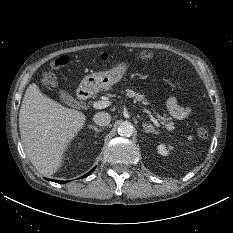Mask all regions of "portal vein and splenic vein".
<instances>
[{
	"label": "portal vein and splenic vein",
	"instance_id": "1",
	"mask_svg": "<svg viewBox=\"0 0 233 233\" xmlns=\"http://www.w3.org/2000/svg\"><path fill=\"white\" fill-rule=\"evenodd\" d=\"M111 105V102L110 101H97V102H94L93 103V108L95 109H104L106 107H109ZM151 120L153 121V123L160 127L161 125L159 124V122L154 119L153 117H151Z\"/></svg>",
	"mask_w": 233,
	"mask_h": 233
}]
</instances>
